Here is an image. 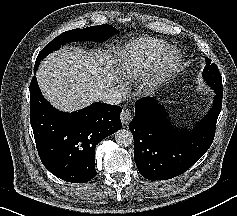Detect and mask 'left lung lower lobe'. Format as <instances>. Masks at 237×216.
Returning <instances> with one entry per match:
<instances>
[{"instance_id":"1","label":"left lung lower lobe","mask_w":237,"mask_h":216,"mask_svg":"<svg viewBox=\"0 0 237 216\" xmlns=\"http://www.w3.org/2000/svg\"><path fill=\"white\" fill-rule=\"evenodd\" d=\"M215 93L211 110L192 132L174 129L155 98L135 103L136 114L129 129L135 163L143 177L167 180L183 174L209 149L222 104V91Z\"/></svg>"}]
</instances>
